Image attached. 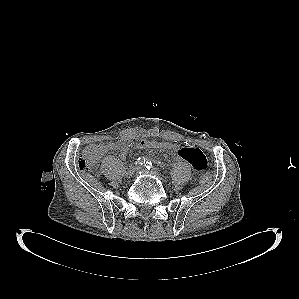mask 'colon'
Returning <instances> with one entry per match:
<instances>
[{
  "label": "colon",
  "mask_w": 299,
  "mask_h": 299,
  "mask_svg": "<svg viewBox=\"0 0 299 299\" xmlns=\"http://www.w3.org/2000/svg\"><path fill=\"white\" fill-rule=\"evenodd\" d=\"M166 143L167 142H150L146 146L142 143H138L136 148L141 150L144 148H164ZM122 147L123 144L120 141L88 146L80 156L78 166L83 170L95 171L99 168V160L103 153L119 151ZM210 180L211 176L208 173H203L200 176V182L202 184H207Z\"/></svg>",
  "instance_id": "colon-1"
}]
</instances>
